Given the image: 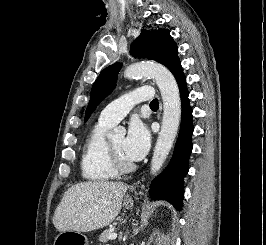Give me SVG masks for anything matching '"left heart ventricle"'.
<instances>
[{
  "label": "left heart ventricle",
  "instance_id": "obj_1",
  "mask_svg": "<svg viewBox=\"0 0 266 245\" xmlns=\"http://www.w3.org/2000/svg\"><path fill=\"white\" fill-rule=\"evenodd\" d=\"M123 136H118L110 140L111 146L119 160L124 164L131 163L123 152Z\"/></svg>",
  "mask_w": 266,
  "mask_h": 245
}]
</instances>
